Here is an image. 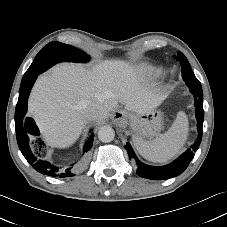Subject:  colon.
I'll return each instance as SVG.
<instances>
[{
    "mask_svg": "<svg viewBox=\"0 0 227 227\" xmlns=\"http://www.w3.org/2000/svg\"><path fill=\"white\" fill-rule=\"evenodd\" d=\"M37 147H38V148L41 147V144H40L39 142L37 143Z\"/></svg>",
    "mask_w": 227,
    "mask_h": 227,
    "instance_id": "obj_1",
    "label": "colon"
}]
</instances>
